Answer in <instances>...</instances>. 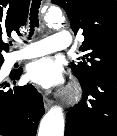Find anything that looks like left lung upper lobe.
<instances>
[{
  "label": "left lung upper lobe",
  "instance_id": "left-lung-upper-lobe-1",
  "mask_svg": "<svg viewBox=\"0 0 117 136\" xmlns=\"http://www.w3.org/2000/svg\"><path fill=\"white\" fill-rule=\"evenodd\" d=\"M67 13L75 35L85 40L80 50L83 57L71 64L81 84L96 75L117 70V2L116 0H52Z\"/></svg>",
  "mask_w": 117,
  "mask_h": 136
}]
</instances>
